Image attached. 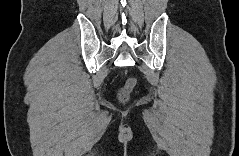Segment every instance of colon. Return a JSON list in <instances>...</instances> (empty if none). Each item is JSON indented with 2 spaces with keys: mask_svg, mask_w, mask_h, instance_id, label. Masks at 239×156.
<instances>
[{
  "mask_svg": "<svg viewBox=\"0 0 239 156\" xmlns=\"http://www.w3.org/2000/svg\"><path fill=\"white\" fill-rule=\"evenodd\" d=\"M135 85V80L133 78H130L126 81L124 87L119 92V98L120 100L124 101L128 98V95L132 88Z\"/></svg>",
  "mask_w": 239,
  "mask_h": 156,
  "instance_id": "obj_1",
  "label": "colon"
}]
</instances>
